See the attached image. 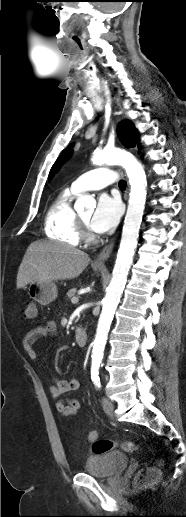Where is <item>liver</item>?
<instances>
[{
	"label": "liver",
	"instance_id": "liver-1",
	"mask_svg": "<svg viewBox=\"0 0 186 517\" xmlns=\"http://www.w3.org/2000/svg\"><path fill=\"white\" fill-rule=\"evenodd\" d=\"M89 262L87 253L72 246L52 241L33 242L19 266L17 288L34 282L74 279Z\"/></svg>",
	"mask_w": 186,
	"mask_h": 517
}]
</instances>
